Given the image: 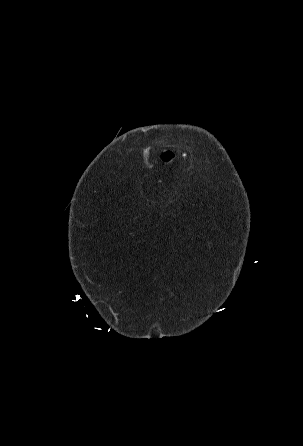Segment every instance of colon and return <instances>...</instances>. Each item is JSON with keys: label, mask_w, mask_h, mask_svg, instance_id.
<instances>
[{"label": "colon", "mask_w": 303, "mask_h": 446, "mask_svg": "<svg viewBox=\"0 0 303 446\" xmlns=\"http://www.w3.org/2000/svg\"><path fill=\"white\" fill-rule=\"evenodd\" d=\"M172 158H173V153H172V152H165V153L162 155V160H163L165 163L170 162Z\"/></svg>", "instance_id": "1"}]
</instances>
